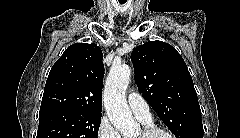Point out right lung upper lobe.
<instances>
[{
    "label": "right lung upper lobe",
    "mask_w": 240,
    "mask_h": 138,
    "mask_svg": "<svg viewBox=\"0 0 240 138\" xmlns=\"http://www.w3.org/2000/svg\"><path fill=\"white\" fill-rule=\"evenodd\" d=\"M104 65L96 44L69 46L52 66L39 115L56 111L101 114Z\"/></svg>",
    "instance_id": "obj_1"
}]
</instances>
